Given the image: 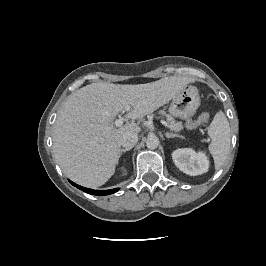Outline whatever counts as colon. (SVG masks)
I'll use <instances>...</instances> for the list:
<instances>
[{
    "label": "colon",
    "instance_id": "5ec220e1",
    "mask_svg": "<svg viewBox=\"0 0 266 266\" xmlns=\"http://www.w3.org/2000/svg\"><path fill=\"white\" fill-rule=\"evenodd\" d=\"M209 119V116L207 113H202L198 118H196L195 120H187L186 121V127L188 129H194L197 126H199L200 124H203L205 122H207V120Z\"/></svg>",
    "mask_w": 266,
    "mask_h": 266
}]
</instances>
